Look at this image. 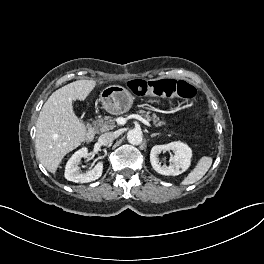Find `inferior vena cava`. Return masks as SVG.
<instances>
[{"label": "inferior vena cava", "instance_id": "obj_1", "mask_svg": "<svg viewBox=\"0 0 264 264\" xmlns=\"http://www.w3.org/2000/svg\"><path fill=\"white\" fill-rule=\"evenodd\" d=\"M116 135L113 132H108V133H104L102 134L98 141L101 145H107L109 143H111L114 139H115Z\"/></svg>", "mask_w": 264, "mask_h": 264}]
</instances>
